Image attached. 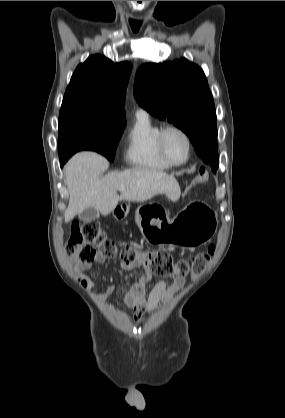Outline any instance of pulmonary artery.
I'll use <instances>...</instances> for the list:
<instances>
[{
  "instance_id": "pulmonary-artery-1",
  "label": "pulmonary artery",
  "mask_w": 285,
  "mask_h": 418,
  "mask_svg": "<svg viewBox=\"0 0 285 418\" xmlns=\"http://www.w3.org/2000/svg\"><path fill=\"white\" fill-rule=\"evenodd\" d=\"M144 116H148V113L145 110H138L136 112V117H144Z\"/></svg>"
}]
</instances>
